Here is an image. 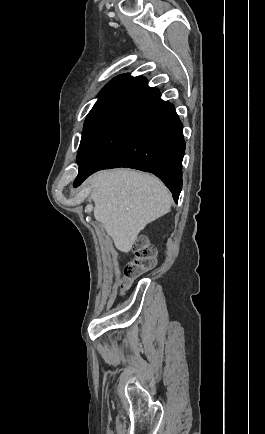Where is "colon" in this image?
I'll return each instance as SVG.
<instances>
[{"label": "colon", "mask_w": 265, "mask_h": 434, "mask_svg": "<svg viewBox=\"0 0 265 434\" xmlns=\"http://www.w3.org/2000/svg\"><path fill=\"white\" fill-rule=\"evenodd\" d=\"M156 252L153 246L147 245L144 239H139L135 245V251L131 261L125 267L119 283V291L124 292L132 280L140 278L156 264Z\"/></svg>", "instance_id": "colon-1"}]
</instances>
